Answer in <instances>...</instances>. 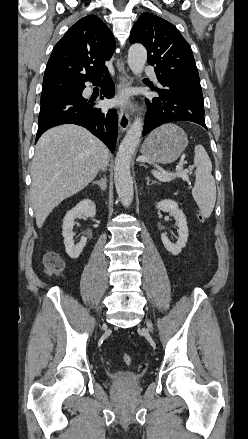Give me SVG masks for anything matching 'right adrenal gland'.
<instances>
[{"mask_svg": "<svg viewBox=\"0 0 248 439\" xmlns=\"http://www.w3.org/2000/svg\"><path fill=\"white\" fill-rule=\"evenodd\" d=\"M93 184H97L102 191L106 190L107 187V179L106 177L102 178L99 181H94Z\"/></svg>", "mask_w": 248, "mask_h": 439, "instance_id": "right-adrenal-gland-1", "label": "right adrenal gland"}]
</instances>
